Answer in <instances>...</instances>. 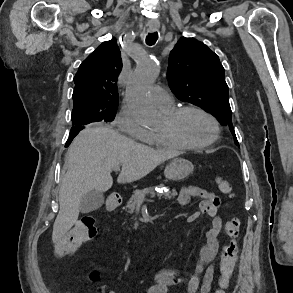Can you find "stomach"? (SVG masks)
I'll return each instance as SVG.
<instances>
[{"label":"stomach","mask_w":293,"mask_h":293,"mask_svg":"<svg viewBox=\"0 0 293 293\" xmlns=\"http://www.w3.org/2000/svg\"><path fill=\"white\" fill-rule=\"evenodd\" d=\"M194 170V165L187 159L175 158L165 168L164 175L168 180L181 181Z\"/></svg>","instance_id":"0dacf381"}]
</instances>
